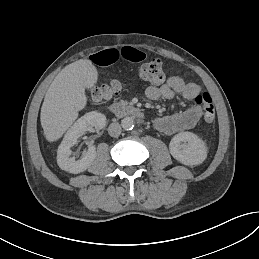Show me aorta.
Returning <instances> with one entry per match:
<instances>
[{
	"mask_svg": "<svg viewBox=\"0 0 259 259\" xmlns=\"http://www.w3.org/2000/svg\"><path fill=\"white\" fill-rule=\"evenodd\" d=\"M121 126L124 130H132L134 127V120L132 117H125L121 121Z\"/></svg>",
	"mask_w": 259,
	"mask_h": 259,
	"instance_id": "aorta-1",
	"label": "aorta"
}]
</instances>
